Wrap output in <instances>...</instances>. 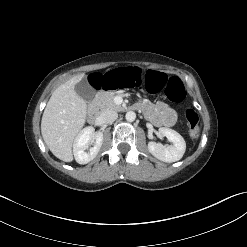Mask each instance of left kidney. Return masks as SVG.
<instances>
[{"mask_svg": "<svg viewBox=\"0 0 247 247\" xmlns=\"http://www.w3.org/2000/svg\"><path fill=\"white\" fill-rule=\"evenodd\" d=\"M159 135L169 139L171 145L165 146L161 143L149 142V152L163 162L171 163L180 160L186 149L184 138L175 130L165 127L159 128Z\"/></svg>", "mask_w": 247, "mask_h": 247, "instance_id": "5707ae66", "label": "left kidney"}]
</instances>
